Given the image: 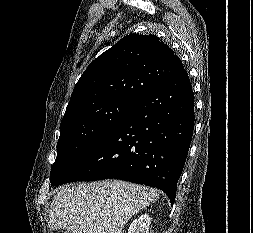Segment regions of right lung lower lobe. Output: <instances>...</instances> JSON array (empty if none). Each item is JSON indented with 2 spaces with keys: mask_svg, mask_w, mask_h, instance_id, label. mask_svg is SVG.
<instances>
[{
  "mask_svg": "<svg viewBox=\"0 0 253 233\" xmlns=\"http://www.w3.org/2000/svg\"><path fill=\"white\" fill-rule=\"evenodd\" d=\"M194 129V96L183 68L138 99L118 125L52 185L121 179L162 190L174 203Z\"/></svg>",
  "mask_w": 253,
  "mask_h": 233,
  "instance_id": "1",
  "label": "right lung lower lobe"
}]
</instances>
